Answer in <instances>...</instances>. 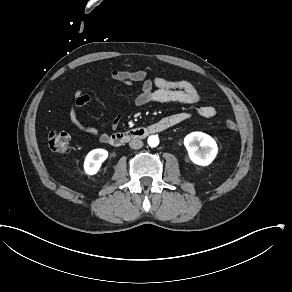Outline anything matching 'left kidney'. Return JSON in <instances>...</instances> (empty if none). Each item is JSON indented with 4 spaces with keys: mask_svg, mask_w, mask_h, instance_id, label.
Here are the masks:
<instances>
[{
    "mask_svg": "<svg viewBox=\"0 0 292 292\" xmlns=\"http://www.w3.org/2000/svg\"><path fill=\"white\" fill-rule=\"evenodd\" d=\"M184 145L191 161L200 166L209 165L218 152L215 140L203 132L188 134L184 138Z\"/></svg>",
    "mask_w": 292,
    "mask_h": 292,
    "instance_id": "5707ae66",
    "label": "left kidney"
}]
</instances>
